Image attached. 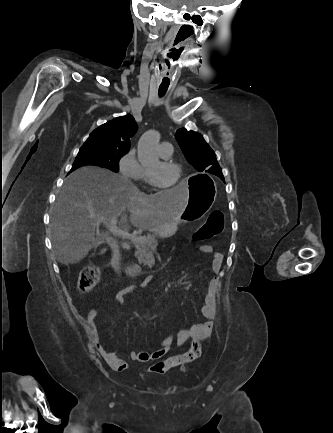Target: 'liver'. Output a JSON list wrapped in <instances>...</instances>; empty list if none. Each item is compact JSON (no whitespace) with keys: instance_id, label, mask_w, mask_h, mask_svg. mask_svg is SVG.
I'll list each match as a JSON object with an SVG mask.
<instances>
[{"instance_id":"1","label":"liver","mask_w":333,"mask_h":433,"mask_svg":"<svg viewBox=\"0 0 333 433\" xmlns=\"http://www.w3.org/2000/svg\"><path fill=\"white\" fill-rule=\"evenodd\" d=\"M176 192L147 195L130 180L108 169L86 166L65 180L51 215L52 244L57 260L65 265L84 259L98 240L100 224L116 219L115 226L159 232L182 214L189 201L185 183L174 185ZM97 236V237H96Z\"/></svg>"}]
</instances>
